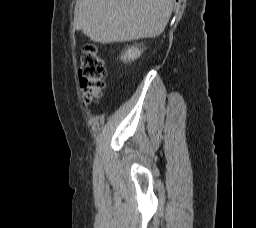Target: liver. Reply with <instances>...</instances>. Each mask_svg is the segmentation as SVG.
Wrapping results in <instances>:
<instances>
[{
  "label": "liver",
  "instance_id": "liver-1",
  "mask_svg": "<svg viewBox=\"0 0 256 228\" xmlns=\"http://www.w3.org/2000/svg\"><path fill=\"white\" fill-rule=\"evenodd\" d=\"M174 0H78L77 30L106 44L155 38L163 33Z\"/></svg>",
  "mask_w": 256,
  "mask_h": 228
}]
</instances>
